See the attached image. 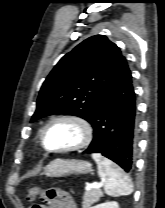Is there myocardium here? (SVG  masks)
Listing matches in <instances>:
<instances>
[{
  "label": "myocardium",
  "instance_id": "f54148a6",
  "mask_svg": "<svg viewBox=\"0 0 165 208\" xmlns=\"http://www.w3.org/2000/svg\"><path fill=\"white\" fill-rule=\"evenodd\" d=\"M62 121L70 122L76 125L81 131V135H82L81 139L79 142L64 148L50 149L45 145L44 142L45 133L52 124ZM92 139H93V127L91 123L85 118L79 116H73V115H60L50 119L42 128L40 133V144L42 148L49 153H64V152L80 150L87 147L91 143Z\"/></svg>",
  "mask_w": 165,
  "mask_h": 208
}]
</instances>
